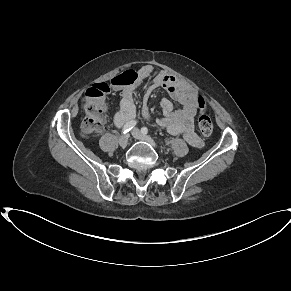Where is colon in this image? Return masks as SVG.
<instances>
[{"label":"colon","instance_id":"5ec220e1","mask_svg":"<svg viewBox=\"0 0 291 291\" xmlns=\"http://www.w3.org/2000/svg\"><path fill=\"white\" fill-rule=\"evenodd\" d=\"M133 75L115 78L112 85L120 87L131 84L134 81ZM110 92V86L106 83H99L90 87L86 93L83 102L85 116L81 128L85 136L100 133L105 123V103L104 97ZM196 106L198 108L197 125L199 131L208 136L213 131V123L207 114V101L202 95H196Z\"/></svg>","mask_w":291,"mask_h":291}]
</instances>
